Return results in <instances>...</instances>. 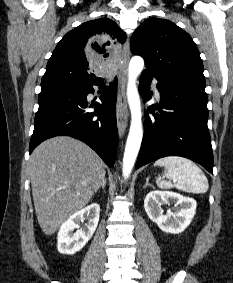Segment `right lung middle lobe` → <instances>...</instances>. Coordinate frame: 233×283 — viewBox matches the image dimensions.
<instances>
[{
	"instance_id": "1",
	"label": "right lung middle lobe",
	"mask_w": 233,
	"mask_h": 283,
	"mask_svg": "<svg viewBox=\"0 0 233 283\" xmlns=\"http://www.w3.org/2000/svg\"><path fill=\"white\" fill-rule=\"evenodd\" d=\"M56 84H73L70 82H64V81H48V82H41V87H46V86H51V85H56Z\"/></svg>"
}]
</instances>
